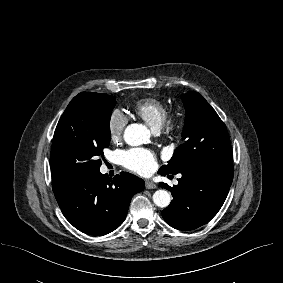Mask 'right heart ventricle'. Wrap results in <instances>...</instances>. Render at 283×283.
Here are the masks:
<instances>
[{"mask_svg": "<svg viewBox=\"0 0 283 283\" xmlns=\"http://www.w3.org/2000/svg\"><path fill=\"white\" fill-rule=\"evenodd\" d=\"M166 102L156 97L138 100L132 108L134 114L143 119L154 131H158L167 115Z\"/></svg>", "mask_w": 283, "mask_h": 283, "instance_id": "obj_1", "label": "right heart ventricle"}]
</instances>
